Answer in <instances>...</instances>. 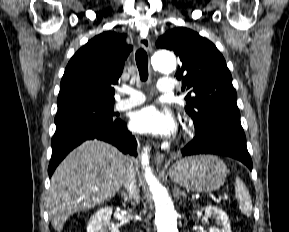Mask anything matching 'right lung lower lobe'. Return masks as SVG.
<instances>
[{"instance_id": "right-lung-lower-lobe-1", "label": "right lung lower lobe", "mask_w": 289, "mask_h": 232, "mask_svg": "<svg viewBox=\"0 0 289 232\" xmlns=\"http://www.w3.org/2000/svg\"><path fill=\"white\" fill-rule=\"evenodd\" d=\"M98 139L111 143L124 154L136 156L137 142L126 129L124 122L116 120L111 124L73 123L56 127L52 138V157L48 168L51 176L57 165L76 146L85 140Z\"/></svg>"}]
</instances>
